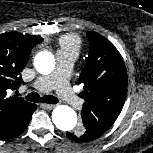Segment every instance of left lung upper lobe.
<instances>
[{
  "mask_svg": "<svg viewBox=\"0 0 153 153\" xmlns=\"http://www.w3.org/2000/svg\"><path fill=\"white\" fill-rule=\"evenodd\" d=\"M89 55L79 76L84 133L101 136L119 116L126 98L127 72L115 46L96 32H87Z\"/></svg>",
  "mask_w": 153,
  "mask_h": 153,
  "instance_id": "obj_1",
  "label": "left lung upper lobe"
}]
</instances>
